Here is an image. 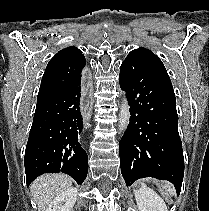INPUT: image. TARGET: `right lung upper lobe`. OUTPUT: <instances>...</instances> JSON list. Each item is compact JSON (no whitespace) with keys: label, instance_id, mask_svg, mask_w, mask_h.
Returning a JSON list of instances; mask_svg holds the SVG:
<instances>
[{"label":"right lung upper lobe","instance_id":"obj_1","mask_svg":"<svg viewBox=\"0 0 209 211\" xmlns=\"http://www.w3.org/2000/svg\"><path fill=\"white\" fill-rule=\"evenodd\" d=\"M85 62L82 52L74 46L59 51L46 67L37 103L80 81Z\"/></svg>","mask_w":209,"mask_h":211}]
</instances>
